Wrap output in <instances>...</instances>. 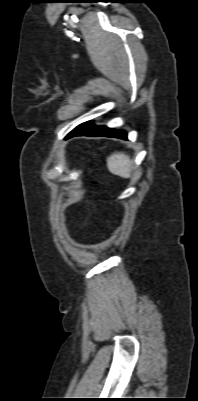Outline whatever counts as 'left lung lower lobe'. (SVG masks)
I'll use <instances>...</instances> for the list:
<instances>
[{"instance_id": "left-lung-lower-lobe-1", "label": "left lung lower lobe", "mask_w": 198, "mask_h": 401, "mask_svg": "<svg viewBox=\"0 0 198 401\" xmlns=\"http://www.w3.org/2000/svg\"><path fill=\"white\" fill-rule=\"evenodd\" d=\"M106 136V137H116L127 139L126 132L118 131L115 129H109L105 126H95L93 123L85 122L77 126L73 131H71L66 139L73 136Z\"/></svg>"}]
</instances>
